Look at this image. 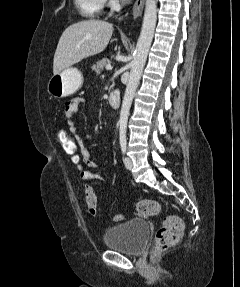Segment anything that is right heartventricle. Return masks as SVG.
Returning a JSON list of instances; mask_svg holds the SVG:
<instances>
[{"mask_svg": "<svg viewBox=\"0 0 240 287\" xmlns=\"http://www.w3.org/2000/svg\"><path fill=\"white\" fill-rule=\"evenodd\" d=\"M80 14L86 18L98 17L103 9V0H74Z\"/></svg>", "mask_w": 240, "mask_h": 287, "instance_id": "obj_1", "label": "right heart ventricle"}]
</instances>
